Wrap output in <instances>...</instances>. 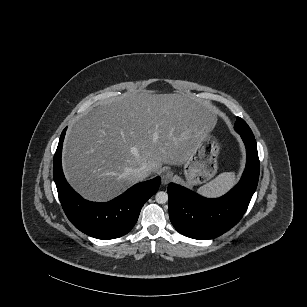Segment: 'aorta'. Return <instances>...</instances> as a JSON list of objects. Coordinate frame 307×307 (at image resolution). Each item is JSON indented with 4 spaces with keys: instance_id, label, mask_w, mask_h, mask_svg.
Returning <instances> with one entry per match:
<instances>
[{
    "instance_id": "obj_1",
    "label": "aorta",
    "mask_w": 307,
    "mask_h": 307,
    "mask_svg": "<svg viewBox=\"0 0 307 307\" xmlns=\"http://www.w3.org/2000/svg\"><path fill=\"white\" fill-rule=\"evenodd\" d=\"M155 200L159 204H164L168 201V194L163 191L157 192L155 195Z\"/></svg>"
}]
</instances>
